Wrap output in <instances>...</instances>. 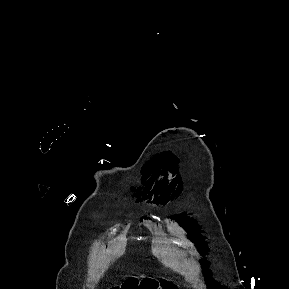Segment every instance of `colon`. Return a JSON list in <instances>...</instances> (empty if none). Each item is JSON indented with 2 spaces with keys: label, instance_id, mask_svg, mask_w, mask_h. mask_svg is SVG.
I'll return each mask as SVG.
<instances>
[{
  "label": "colon",
  "instance_id": "5ec220e1",
  "mask_svg": "<svg viewBox=\"0 0 289 289\" xmlns=\"http://www.w3.org/2000/svg\"><path fill=\"white\" fill-rule=\"evenodd\" d=\"M112 289H175V285L169 280L160 282L152 279H127L121 286Z\"/></svg>",
  "mask_w": 289,
  "mask_h": 289
}]
</instances>
